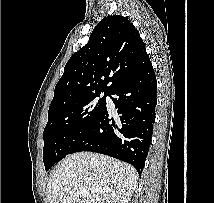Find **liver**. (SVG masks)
Returning <instances> with one entry per match:
<instances>
[{
  "label": "liver",
  "instance_id": "1",
  "mask_svg": "<svg viewBox=\"0 0 214 203\" xmlns=\"http://www.w3.org/2000/svg\"><path fill=\"white\" fill-rule=\"evenodd\" d=\"M133 166L109 156L80 152L64 158L47 184L49 203H128L136 190ZM79 188L89 192L82 198Z\"/></svg>",
  "mask_w": 214,
  "mask_h": 203
}]
</instances>
